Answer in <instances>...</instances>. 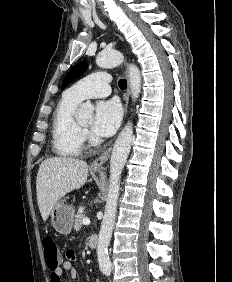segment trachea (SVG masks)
<instances>
[{"label": "trachea", "mask_w": 232, "mask_h": 282, "mask_svg": "<svg viewBox=\"0 0 232 282\" xmlns=\"http://www.w3.org/2000/svg\"><path fill=\"white\" fill-rule=\"evenodd\" d=\"M118 85L121 90H124L127 86V81L125 79H120Z\"/></svg>", "instance_id": "trachea-1"}]
</instances>
